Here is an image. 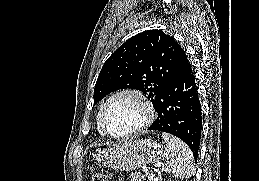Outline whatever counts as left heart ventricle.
Segmentation results:
<instances>
[{"instance_id":"left-heart-ventricle-1","label":"left heart ventricle","mask_w":259,"mask_h":181,"mask_svg":"<svg viewBox=\"0 0 259 181\" xmlns=\"http://www.w3.org/2000/svg\"><path fill=\"white\" fill-rule=\"evenodd\" d=\"M144 118V109L134 97L122 96L112 101L105 112L107 129L114 134H124L138 127Z\"/></svg>"}]
</instances>
